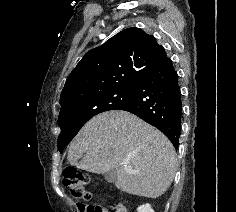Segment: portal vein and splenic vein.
Wrapping results in <instances>:
<instances>
[{
  "instance_id": "obj_1",
  "label": "portal vein and splenic vein",
  "mask_w": 236,
  "mask_h": 212,
  "mask_svg": "<svg viewBox=\"0 0 236 212\" xmlns=\"http://www.w3.org/2000/svg\"><path fill=\"white\" fill-rule=\"evenodd\" d=\"M125 169H126V171H130V172H132V173H137V171L128 169L127 167H125Z\"/></svg>"
}]
</instances>
